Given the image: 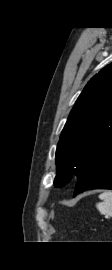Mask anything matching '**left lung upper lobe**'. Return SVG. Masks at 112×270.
Here are the masks:
<instances>
[{
	"label": "left lung upper lobe",
	"mask_w": 112,
	"mask_h": 270,
	"mask_svg": "<svg viewBox=\"0 0 112 270\" xmlns=\"http://www.w3.org/2000/svg\"><path fill=\"white\" fill-rule=\"evenodd\" d=\"M112 147V63L91 78L78 97L56 150V187L80 180Z\"/></svg>",
	"instance_id": "1"
}]
</instances>
